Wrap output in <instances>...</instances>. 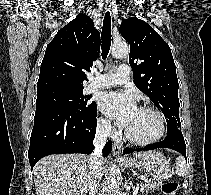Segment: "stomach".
I'll return each instance as SVG.
<instances>
[{
  "instance_id": "0dacf381",
  "label": "stomach",
  "mask_w": 211,
  "mask_h": 195,
  "mask_svg": "<svg viewBox=\"0 0 211 195\" xmlns=\"http://www.w3.org/2000/svg\"><path fill=\"white\" fill-rule=\"evenodd\" d=\"M123 164L128 168L141 169L161 182L169 178L170 164L163 154L156 151L148 152L138 160L126 158Z\"/></svg>"
}]
</instances>
